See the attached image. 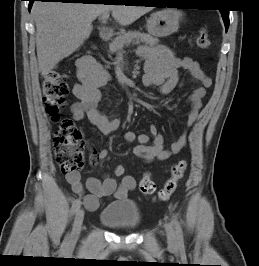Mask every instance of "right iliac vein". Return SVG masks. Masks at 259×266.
I'll list each match as a JSON object with an SVG mask.
<instances>
[{
	"instance_id": "obj_1",
	"label": "right iliac vein",
	"mask_w": 259,
	"mask_h": 266,
	"mask_svg": "<svg viewBox=\"0 0 259 266\" xmlns=\"http://www.w3.org/2000/svg\"><path fill=\"white\" fill-rule=\"evenodd\" d=\"M83 220H84V210L80 209L78 210L74 218L73 228H72V232L70 235L71 243H75L78 240L80 236Z\"/></svg>"
}]
</instances>
